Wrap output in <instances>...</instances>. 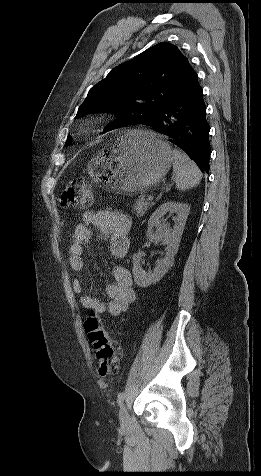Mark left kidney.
Here are the masks:
<instances>
[{"label":"left kidney","instance_id":"1","mask_svg":"<svg viewBox=\"0 0 261 476\" xmlns=\"http://www.w3.org/2000/svg\"><path fill=\"white\" fill-rule=\"evenodd\" d=\"M189 212L190 206L188 204L166 202L160 205L151 215L146 232L147 239L166 245V255L163 259L157 260L153 271L148 272L142 269L141 255H133L132 272L134 281L139 287H147L158 282L172 267ZM166 213L177 214V222L173 229L163 226L160 222V218Z\"/></svg>","mask_w":261,"mask_h":476}]
</instances>
